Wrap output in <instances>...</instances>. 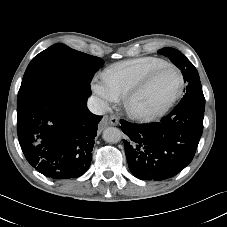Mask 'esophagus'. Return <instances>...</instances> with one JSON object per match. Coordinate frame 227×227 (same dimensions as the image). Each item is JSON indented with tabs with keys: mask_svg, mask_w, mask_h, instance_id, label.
I'll use <instances>...</instances> for the list:
<instances>
[{
	"mask_svg": "<svg viewBox=\"0 0 227 227\" xmlns=\"http://www.w3.org/2000/svg\"><path fill=\"white\" fill-rule=\"evenodd\" d=\"M108 121H109V124L111 125H117L119 120L116 116L114 115H111L109 118H108Z\"/></svg>",
	"mask_w": 227,
	"mask_h": 227,
	"instance_id": "1",
	"label": "esophagus"
}]
</instances>
